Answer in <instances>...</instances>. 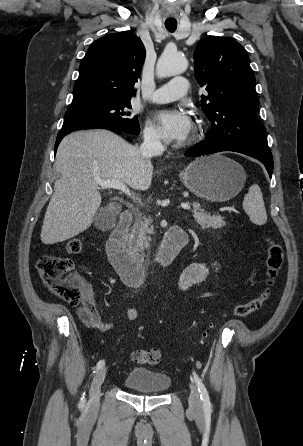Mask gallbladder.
<instances>
[{
	"label": "gallbladder",
	"instance_id": "gallbladder-1",
	"mask_svg": "<svg viewBox=\"0 0 303 446\" xmlns=\"http://www.w3.org/2000/svg\"><path fill=\"white\" fill-rule=\"evenodd\" d=\"M114 219V216L110 215L106 209H102L94 217L95 226L104 230L115 221Z\"/></svg>",
	"mask_w": 303,
	"mask_h": 446
}]
</instances>
